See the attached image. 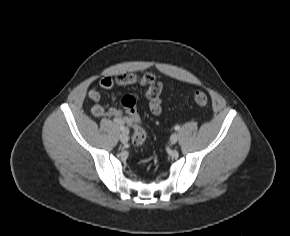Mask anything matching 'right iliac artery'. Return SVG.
I'll return each instance as SVG.
<instances>
[{
  "label": "right iliac artery",
  "mask_w": 290,
  "mask_h": 236,
  "mask_svg": "<svg viewBox=\"0 0 290 236\" xmlns=\"http://www.w3.org/2000/svg\"><path fill=\"white\" fill-rule=\"evenodd\" d=\"M125 129V127L122 125V124H120V130H124Z\"/></svg>",
  "instance_id": "obj_1"
}]
</instances>
